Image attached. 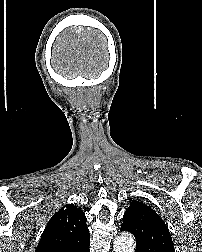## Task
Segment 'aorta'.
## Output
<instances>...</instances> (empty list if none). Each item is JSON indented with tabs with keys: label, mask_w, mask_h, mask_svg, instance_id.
<instances>
[{
	"label": "aorta",
	"mask_w": 202,
	"mask_h": 252,
	"mask_svg": "<svg viewBox=\"0 0 202 252\" xmlns=\"http://www.w3.org/2000/svg\"><path fill=\"white\" fill-rule=\"evenodd\" d=\"M135 239L128 232L121 233L114 241V252H134Z\"/></svg>",
	"instance_id": "1"
}]
</instances>
